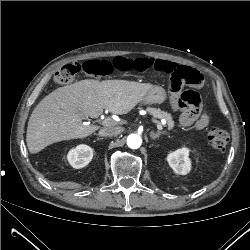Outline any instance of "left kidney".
<instances>
[{"label": "left kidney", "mask_w": 250, "mask_h": 250, "mask_svg": "<svg viewBox=\"0 0 250 250\" xmlns=\"http://www.w3.org/2000/svg\"><path fill=\"white\" fill-rule=\"evenodd\" d=\"M188 156L189 150L181 148L170 153L167 156V161L175 173L186 175L191 170V161Z\"/></svg>", "instance_id": "1"}]
</instances>
